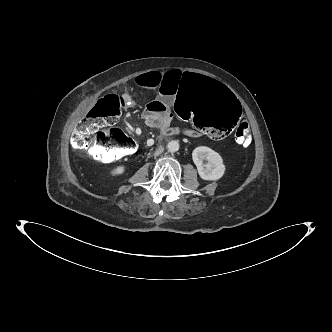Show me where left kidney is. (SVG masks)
Segmentation results:
<instances>
[{"label": "left kidney", "mask_w": 332, "mask_h": 332, "mask_svg": "<svg viewBox=\"0 0 332 332\" xmlns=\"http://www.w3.org/2000/svg\"><path fill=\"white\" fill-rule=\"evenodd\" d=\"M192 159L203 180H219L225 172V165L219 153L206 146H199L192 152ZM204 160L207 162L204 163Z\"/></svg>", "instance_id": "5707ae66"}]
</instances>
